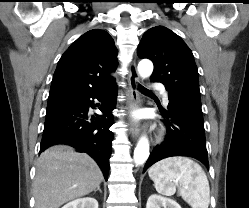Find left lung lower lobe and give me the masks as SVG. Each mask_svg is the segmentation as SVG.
<instances>
[{"instance_id": "left-lung-lower-lobe-1", "label": "left lung lower lobe", "mask_w": 249, "mask_h": 208, "mask_svg": "<svg viewBox=\"0 0 249 208\" xmlns=\"http://www.w3.org/2000/svg\"><path fill=\"white\" fill-rule=\"evenodd\" d=\"M167 110L159 107L167 135L164 143L156 146L144 166L146 171L155 162L172 156H189L201 161L208 169L204 121L201 106L168 94Z\"/></svg>"}]
</instances>
